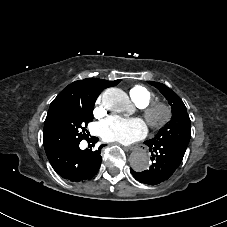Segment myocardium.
Instances as JSON below:
<instances>
[{
  "instance_id": "myocardium-1",
  "label": "myocardium",
  "mask_w": 227,
  "mask_h": 227,
  "mask_svg": "<svg viewBox=\"0 0 227 227\" xmlns=\"http://www.w3.org/2000/svg\"><path fill=\"white\" fill-rule=\"evenodd\" d=\"M143 116L149 123V125L154 129H161L166 127L174 116L173 107L164 101L153 100L142 107ZM161 112L159 118L156 117V114Z\"/></svg>"
}]
</instances>
